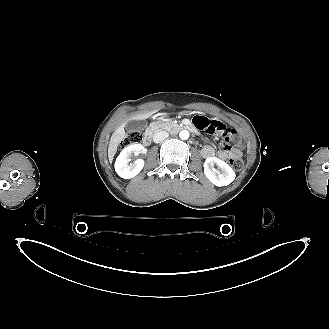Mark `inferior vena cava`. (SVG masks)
<instances>
[{
    "label": "inferior vena cava",
    "instance_id": "602c4592",
    "mask_svg": "<svg viewBox=\"0 0 329 329\" xmlns=\"http://www.w3.org/2000/svg\"><path fill=\"white\" fill-rule=\"evenodd\" d=\"M169 134L166 131H159L156 132L153 136V141L155 143H161L163 142L166 138H168Z\"/></svg>",
    "mask_w": 329,
    "mask_h": 329
}]
</instances>
